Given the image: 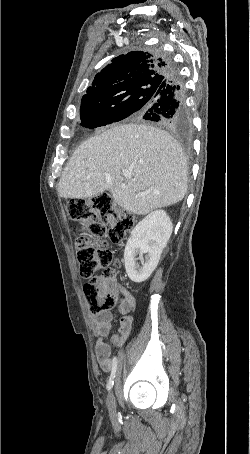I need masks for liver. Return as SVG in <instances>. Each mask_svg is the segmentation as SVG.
<instances>
[{"mask_svg": "<svg viewBox=\"0 0 250 454\" xmlns=\"http://www.w3.org/2000/svg\"><path fill=\"white\" fill-rule=\"evenodd\" d=\"M187 163L176 140L144 124L114 126L83 142L59 181L62 198H90L110 190L126 211L145 215L181 201Z\"/></svg>", "mask_w": 250, "mask_h": 454, "instance_id": "liver-1", "label": "liver"}]
</instances>
